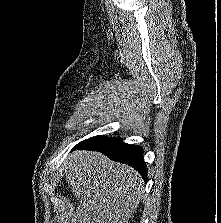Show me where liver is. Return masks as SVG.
I'll return each mask as SVG.
<instances>
[{
	"mask_svg": "<svg viewBox=\"0 0 221 223\" xmlns=\"http://www.w3.org/2000/svg\"><path fill=\"white\" fill-rule=\"evenodd\" d=\"M64 167L79 203L74 216L64 214L60 223H128L143 196L136 170L101 153L79 150L68 156Z\"/></svg>",
	"mask_w": 221,
	"mask_h": 223,
	"instance_id": "1",
	"label": "liver"
}]
</instances>
